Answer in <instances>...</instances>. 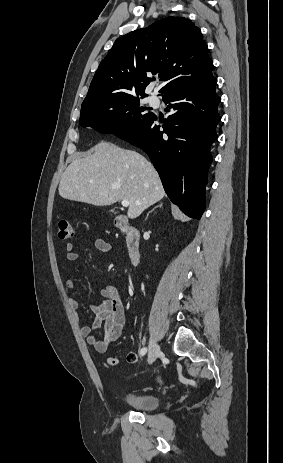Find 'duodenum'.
Returning a JSON list of instances; mask_svg holds the SVG:
<instances>
[{
	"label": "duodenum",
	"mask_w": 283,
	"mask_h": 463,
	"mask_svg": "<svg viewBox=\"0 0 283 463\" xmlns=\"http://www.w3.org/2000/svg\"><path fill=\"white\" fill-rule=\"evenodd\" d=\"M115 226L126 233V245L128 249L129 260L133 266H137L140 261V234L132 226L124 215L115 219Z\"/></svg>",
	"instance_id": "duodenum-1"
}]
</instances>
